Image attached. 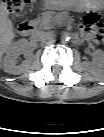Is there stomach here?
<instances>
[{
    "label": "stomach",
    "mask_w": 104,
    "mask_h": 137,
    "mask_svg": "<svg viewBox=\"0 0 104 137\" xmlns=\"http://www.w3.org/2000/svg\"><path fill=\"white\" fill-rule=\"evenodd\" d=\"M93 0H45V6L49 9L61 10L69 7H76L80 10L92 8Z\"/></svg>",
    "instance_id": "stomach-1"
}]
</instances>
